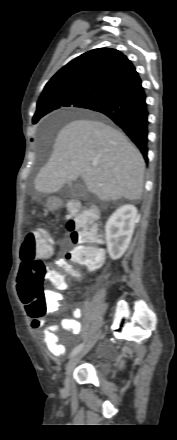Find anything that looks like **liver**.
I'll use <instances>...</instances> for the list:
<instances>
[{
	"mask_svg": "<svg viewBox=\"0 0 177 440\" xmlns=\"http://www.w3.org/2000/svg\"><path fill=\"white\" fill-rule=\"evenodd\" d=\"M145 163L138 149L113 127L94 119H78L58 133L49 161L35 179V189L58 192L81 176L102 201L140 199Z\"/></svg>",
	"mask_w": 177,
	"mask_h": 440,
	"instance_id": "6515ba94",
	"label": "liver"
}]
</instances>
